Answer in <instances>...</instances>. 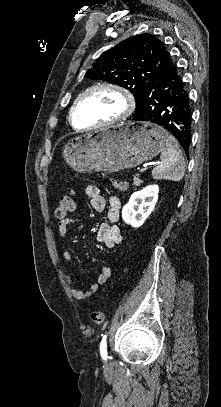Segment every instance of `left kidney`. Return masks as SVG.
I'll list each match as a JSON object with an SVG mask.
<instances>
[{
  "label": "left kidney",
  "instance_id": "5707ae66",
  "mask_svg": "<svg viewBox=\"0 0 221 407\" xmlns=\"http://www.w3.org/2000/svg\"><path fill=\"white\" fill-rule=\"evenodd\" d=\"M158 185H149L134 192L122 209V219L134 228L140 227L154 210L158 200Z\"/></svg>",
  "mask_w": 221,
  "mask_h": 407
}]
</instances>
